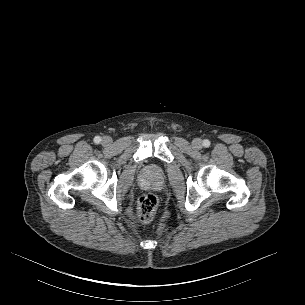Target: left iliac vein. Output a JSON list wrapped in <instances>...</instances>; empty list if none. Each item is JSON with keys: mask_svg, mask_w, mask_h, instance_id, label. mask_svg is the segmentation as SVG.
Returning <instances> with one entry per match:
<instances>
[{"mask_svg": "<svg viewBox=\"0 0 305 305\" xmlns=\"http://www.w3.org/2000/svg\"><path fill=\"white\" fill-rule=\"evenodd\" d=\"M192 145L195 149H201L202 148V141L199 138H196L193 140Z\"/></svg>", "mask_w": 305, "mask_h": 305, "instance_id": "1", "label": "left iliac vein"}]
</instances>
